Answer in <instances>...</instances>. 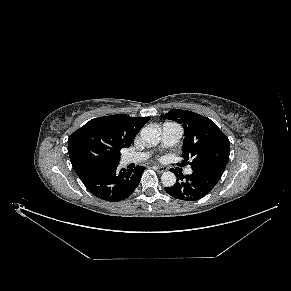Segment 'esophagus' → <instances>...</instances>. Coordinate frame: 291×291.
Returning <instances> with one entry per match:
<instances>
[{
	"instance_id": "esophagus-1",
	"label": "esophagus",
	"mask_w": 291,
	"mask_h": 291,
	"mask_svg": "<svg viewBox=\"0 0 291 291\" xmlns=\"http://www.w3.org/2000/svg\"><path fill=\"white\" fill-rule=\"evenodd\" d=\"M155 170H157V172H159V173H163L167 169L165 167H163V166H155Z\"/></svg>"
}]
</instances>
